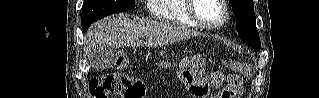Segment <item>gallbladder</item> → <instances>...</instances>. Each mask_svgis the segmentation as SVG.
I'll list each match as a JSON object with an SVG mask.
<instances>
[{
  "label": "gallbladder",
  "mask_w": 319,
  "mask_h": 98,
  "mask_svg": "<svg viewBox=\"0 0 319 98\" xmlns=\"http://www.w3.org/2000/svg\"><path fill=\"white\" fill-rule=\"evenodd\" d=\"M114 53L108 46L95 48L91 53L90 62L96 69L108 68L113 63Z\"/></svg>",
  "instance_id": "gallbladder-1"
}]
</instances>
